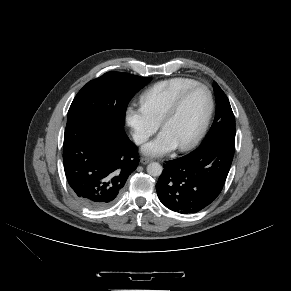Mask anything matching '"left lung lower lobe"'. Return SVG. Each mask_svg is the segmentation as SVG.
<instances>
[{
  "label": "left lung lower lobe",
  "instance_id": "obj_1",
  "mask_svg": "<svg viewBox=\"0 0 291 291\" xmlns=\"http://www.w3.org/2000/svg\"><path fill=\"white\" fill-rule=\"evenodd\" d=\"M235 141L216 140L167 161L156 184L161 203L181 213H197L220 194L229 173Z\"/></svg>",
  "mask_w": 291,
  "mask_h": 291
}]
</instances>
